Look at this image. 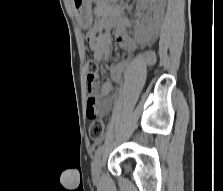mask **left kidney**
<instances>
[{"label":"left kidney","mask_w":223,"mask_h":191,"mask_svg":"<svg viewBox=\"0 0 223 191\" xmlns=\"http://www.w3.org/2000/svg\"><path fill=\"white\" fill-rule=\"evenodd\" d=\"M165 0H140L139 8L151 7L153 9V19L147 27H138L135 34L142 40H150L156 37L159 25L164 12Z\"/></svg>","instance_id":"5707ae66"}]
</instances>
